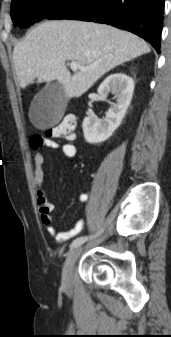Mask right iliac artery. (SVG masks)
Returning a JSON list of instances; mask_svg holds the SVG:
<instances>
[{
  "mask_svg": "<svg viewBox=\"0 0 171 337\" xmlns=\"http://www.w3.org/2000/svg\"><path fill=\"white\" fill-rule=\"evenodd\" d=\"M88 240V237L87 236H82V237H79V238H76L70 245V248L73 249V248H76L80 245H82L85 241Z\"/></svg>",
  "mask_w": 171,
  "mask_h": 337,
  "instance_id": "right-iliac-artery-1",
  "label": "right iliac artery"
}]
</instances>
